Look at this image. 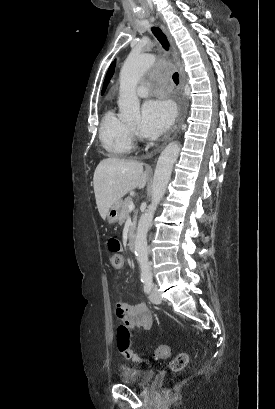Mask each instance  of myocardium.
Returning <instances> with one entry per match:
<instances>
[{
    "mask_svg": "<svg viewBox=\"0 0 275 409\" xmlns=\"http://www.w3.org/2000/svg\"><path fill=\"white\" fill-rule=\"evenodd\" d=\"M129 128H130L131 137H132V139L135 140L137 138V136H138L137 131H136V129H134L132 127H129Z\"/></svg>",
    "mask_w": 275,
    "mask_h": 409,
    "instance_id": "f54148a6",
    "label": "myocardium"
}]
</instances>
